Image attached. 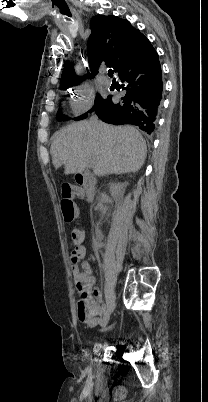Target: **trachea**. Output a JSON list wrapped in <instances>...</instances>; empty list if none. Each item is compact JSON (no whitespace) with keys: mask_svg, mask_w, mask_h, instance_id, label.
I'll return each mask as SVG.
<instances>
[{"mask_svg":"<svg viewBox=\"0 0 208 402\" xmlns=\"http://www.w3.org/2000/svg\"><path fill=\"white\" fill-rule=\"evenodd\" d=\"M108 76H109V77H113V70H111V69L108 70Z\"/></svg>","mask_w":208,"mask_h":402,"instance_id":"1","label":"trachea"}]
</instances>
